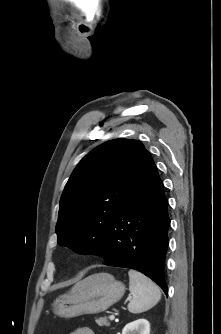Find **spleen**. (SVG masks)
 Here are the masks:
<instances>
[{
  "label": "spleen",
  "instance_id": "spleen-1",
  "mask_svg": "<svg viewBox=\"0 0 221 334\" xmlns=\"http://www.w3.org/2000/svg\"><path fill=\"white\" fill-rule=\"evenodd\" d=\"M129 290L132 299L128 304L131 313L138 314L154 307L161 299L160 288L142 273L129 270Z\"/></svg>",
  "mask_w": 221,
  "mask_h": 334
}]
</instances>
